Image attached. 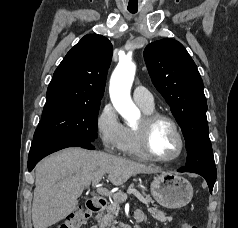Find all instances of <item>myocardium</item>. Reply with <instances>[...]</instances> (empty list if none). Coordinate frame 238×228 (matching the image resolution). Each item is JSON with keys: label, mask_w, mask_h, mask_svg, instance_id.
I'll return each instance as SVG.
<instances>
[{"label": "myocardium", "mask_w": 238, "mask_h": 228, "mask_svg": "<svg viewBox=\"0 0 238 228\" xmlns=\"http://www.w3.org/2000/svg\"><path fill=\"white\" fill-rule=\"evenodd\" d=\"M161 121L167 122L169 125H171L179 141L178 152L171 158L159 157L151 149L150 139L152 130L154 126ZM135 128L138 133L141 149L149 159L161 163H171L178 160L182 156L185 149V139L180 126L171 116L159 112L147 113L143 115L140 123Z\"/></svg>", "instance_id": "f54148a6"}]
</instances>
